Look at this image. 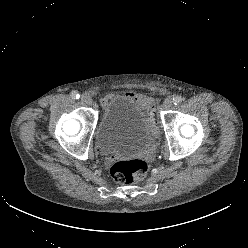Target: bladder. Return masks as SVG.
Wrapping results in <instances>:
<instances>
[{
    "label": "bladder",
    "instance_id": "bladder-1",
    "mask_svg": "<svg viewBox=\"0 0 248 248\" xmlns=\"http://www.w3.org/2000/svg\"><path fill=\"white\" fill-rule=\"evenodd\" d=\"M153 122L147 106L128 94H118L105 105L95 131V142L104 153H135L151 147Z\"/></svg>",
    "mask_w": 248,
    "mask_h": 248
}]
</instances>
